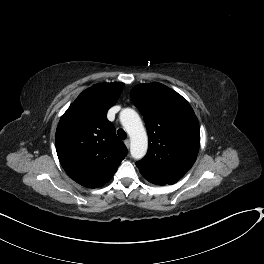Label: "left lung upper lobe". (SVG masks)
Wrapping results in <instances>:
<instances>
[{"label":"left lung upper lobe","instance_id":"5c2ea615","mask_svg":"<svg viewBox=\"0 0 264 264\" xmlns=\"http://www.w3.org/2000/svg\"><path fill=\"white\" fill-rule=\"evenodd\" d=\"M131 99L146 124L149 147L136 166L151 181L174 184L194 164L200 147V129L190 104L160 83L140 84Z\"/></svg>","mask_w":264,"mask_h":264}]
</instances>
